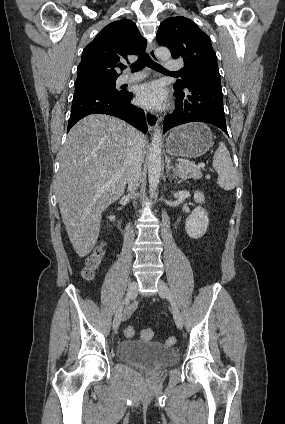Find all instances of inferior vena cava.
<instances>
[{
    "instance_id": "1",
    "label": "inferior vena cava",
    "mask_w": 285,
    "mask_h": 424,
    "mask_svg": "<svg viewBox=\"0 0 285 424\" xmlns=\"http://www.w3.org/2000/svg\"><path fill=\"white\" fill-rule=\"evenodd\" d=\"M142 148L138 136L133 141L127 160V183L130 194L133 195L138 188L142 166Z\"/></svg>"
}]
</instances>
